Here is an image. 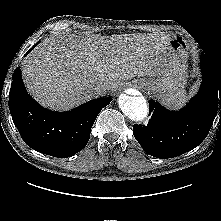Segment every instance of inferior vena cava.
<instances>
[{
    "mask_svg": "<svg viewBox=\"0 0 221 221\" xmlns=\"http://www.w3.org/2000/svg\"><path fill=\"white\" fill-rule=\"evenodd\" d=\"M92 90L97 96L104 95L109 90V85L104 81H100L93 85Z\"/></svg>",
    "mask_w": 221,
    "mask_h": 221,
    "instance_id": "602c4592",
    "label": "inferior vena cava"
}]
</instances>
